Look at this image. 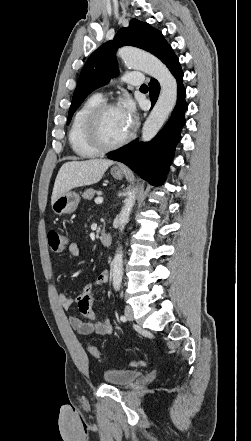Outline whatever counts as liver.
I'll return each instance as SVG.
<instances>
[{
	"label": "liver",
	"instance_id": "liver-1",
	"mask_svg": "<svg viewBox=\"0 0 251 441\" xmlns=\"http://www.w3.org/2000/svg\"><path fill=\"white\" fill-rule=\"evenodd\" d=\"M113 164V161L106 159H89L64 163L55 179L51 203L60 195L73 188L97 183L108 167Z\"/></svg>",
	"mask_w": 251,
	"mask_h": 441
}]
</instances>
